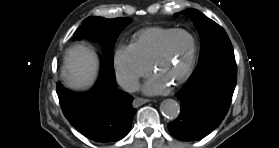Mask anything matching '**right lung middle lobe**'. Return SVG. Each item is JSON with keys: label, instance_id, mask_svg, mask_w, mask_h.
<instances>
[{"label": "right lung middle lobe", "instance_id": "dd1d6c3e", "mask_svg": "<svg viewBox=\"0 0 279 148\" xmlns=\"http://www.w3.org/2000/svg\"><path fill=\"white\" fill-rule=\"evenodd\" d=\"M131 22V18L105 19L102 17H88L82 23L74 37H82L105 44V59L113 64V46L120 31Z\"/></svg>", "mask_w": 279, "mask_h": 148}]
</instances>
